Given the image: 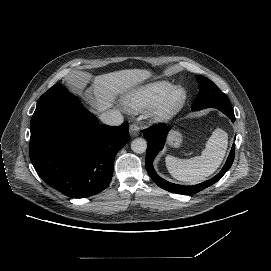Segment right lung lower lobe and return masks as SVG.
<instances>
[{
    "label": "right lung lower lobe",
    "mask_w": 271,
    "mask_h": 271,
    "mask_svg": "<svg viewBox=\"0 0 271 271\" xmlns=\"http://www.w3.org/2000/svg\"><path fill=\"white\" fill-rule=\"evenodd\" d=\"M30 130L29 153L36 172L71 198L92 196L109 185L114 158L129 135L127 122L100 125L69 93L37 102Z\"/></svg>",
    "instance_id": "1"
}]
</instances>
